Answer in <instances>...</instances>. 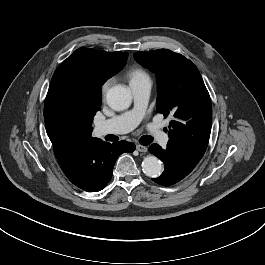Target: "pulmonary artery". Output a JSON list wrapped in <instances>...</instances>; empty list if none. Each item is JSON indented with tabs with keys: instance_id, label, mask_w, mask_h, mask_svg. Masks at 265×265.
Wrapping results in <instances>:
<instances>
[{
	"instance_id": "pulmonary-artery-1",
	"label": "pulmonary artery",
	"mask_w": 265,
	"mask_h": 265,
	"mask_svg": "<svg viewBox=\"0 0 265 265\" xmlns=\"http://www.w3.org/2000/svg\"><path fill=\"white\" fill-rule=\"evenodd\" d=\"M133 93L134 105L132 109L103 120L97 124L96 131L99 135L108 133L123 134L132 131L144 118L146 106L151 93L152 82L149 77L130 83ZM150 137L160 145L168 142L167 134L155 123L147 124Z\"/></svg>"
}]
</instances>
